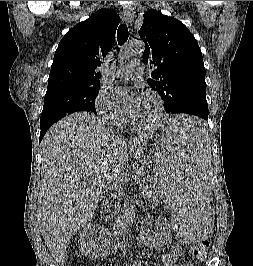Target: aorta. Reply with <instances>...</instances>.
<instances>
[{"label":"aorta","instance_id":"aorta-1","mask_svg":"<svg viewBox=\"0 0 253 266\" xmlns=\"http://www.w3.org/2000/svg\"><path fill=\"white\" fill-rule=\"evenodd\" d=\"M143 51L144 43L142 41H131L120 49L119 57L120 59L125 60L132 56L141 55ZM116 88L119 94L125 92V87L122 85H116ZM121 223L124 229H129L130 223L128 222L127 217H122Z\"/></svg>","mask_w":253,"mask_h":266}]
</instances>
